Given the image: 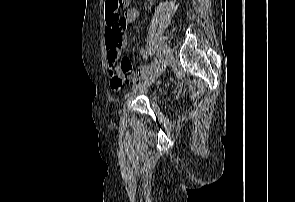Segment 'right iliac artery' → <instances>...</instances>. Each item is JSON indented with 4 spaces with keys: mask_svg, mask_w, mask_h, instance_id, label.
I'll return each mask as SVG.
<instances>
[{
    "mask_svg": "<svg viewBox=\"0 0 295 202\" xmlns=\"http://www.w3.org/2000/svg\"><path fill=\"white\" fill-rule=\"evenodd\" d=\"M156 55H157V57H159V60L161 61V51H160V49L157 50Z\"/></svg>",
    "mask_w": 295,
    "mask_h": 202,
    "instance_id": "82829eb1",
    "label": "right iliac artery"
}]
</instances>
